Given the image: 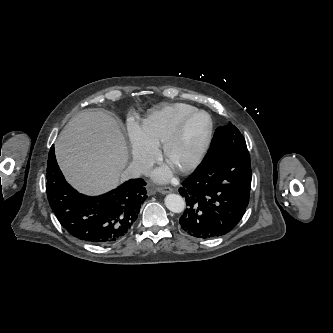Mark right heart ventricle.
Returning <instances> with one entry per match:
<instances>
[{"label": "right heart ventricle", "instance_id": "obj_1", "mask_svg": "<svg viewBox=\"0 0 333 333\" xmlns=\"http://www.w3.org/2000/svg\"><path fill=\"white\" fill-rule=\"evenodd\" d=\"M196 107L187 103L162 105L152 111L142 121V130L146 139L156 148L167 140L179 121Z\"/></svg>", "mask_w": 333, "mask_h": 333}]
</instances>
